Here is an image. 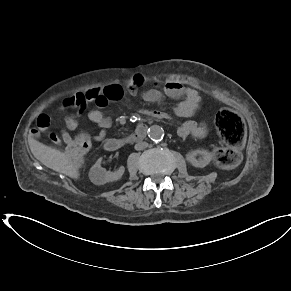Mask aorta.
<instances>
[{"label":"aorta","mask_w":291,"mask_h":291,"mask_svg":"<svg viewBox=\"0 0 291 291\" xmlns=\"http://www.w3.org/2000/svg\"><path fill=\"white\" fill-rule=\"evenodd\" d=\"M148 136L153 141H161L164 136V130L158 125H153L148 130Z\"/></svg>","instance_id":"762f6f07"}]
</instances>
